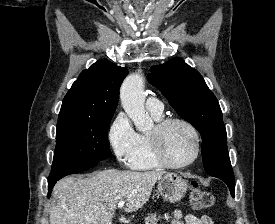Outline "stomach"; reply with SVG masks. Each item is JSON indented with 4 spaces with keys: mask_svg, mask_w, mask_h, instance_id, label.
<instances>
[{
    "mask_svg": "<svg viewBox=\"0 0 275 224\" xmlns=\"http://www.w3.org/2000/svg\"><path fill=\"white\" fill-rule=\"evenodd\" d=\"M187 182L175 173H167L158 181V192L168 202L180 201L186 194Z\"/></svg>",
    "mask_w": 275,
    "mask_h": 224,
    "instance_id": "obj_1",
    "label": "stomach"
}]
</instances>
